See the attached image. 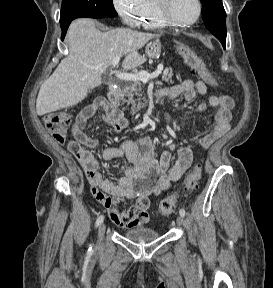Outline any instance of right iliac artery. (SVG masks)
Here are the masks:
<instances>
[{"mask_svg":"<svg viewBox=\"0 0 273 288\" xmlns=\"http://www.w3.org/2000/svg\"><path fill=\"white\" fill-rule=\"evenodd\" d=\"M104 220V216L101 215L98 217L97 221H96V227L99 226ZM93 250H92V247H89L88 249V254H92Z\"/></svg>","mask_w":273,"mask_h":288,"instance_id":"82829eb1","label":"right iliac artery"}]
</instances>
